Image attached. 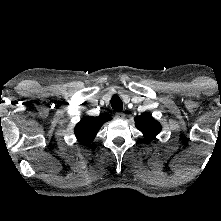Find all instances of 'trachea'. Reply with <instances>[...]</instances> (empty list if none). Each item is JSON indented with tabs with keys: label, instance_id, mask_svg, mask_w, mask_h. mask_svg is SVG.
<instances>
[{
	"label": "trachea",
	"instance_id": "3493384b",
	"mask_svg": "<svg viewBox=\"0 0 221 221\" xmlns=\"http://www.w3.org/2000/svg\"><path fill=\"white\" fill-rule=\"evenodd\" d=\"M111 106L115 111H122L123 110V103L118 95H114L111 98Z\"/></svg>",
	"mask_w": 221,
	"mask_h": 221
}]
</instances>
